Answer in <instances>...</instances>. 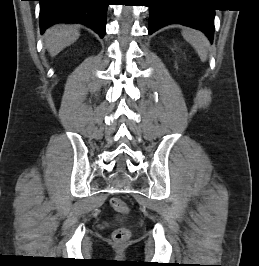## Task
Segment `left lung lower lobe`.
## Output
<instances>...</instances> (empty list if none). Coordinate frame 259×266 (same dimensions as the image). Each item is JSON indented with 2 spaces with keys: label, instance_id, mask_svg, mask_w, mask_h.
Listing matches in <instances>:
<instances>
[{
  "label": "left lung lower lobe",
  "instance_id": "obj_1",
  "mask_svg": "<svg viewBox=\"0 0 259 266\" xmlns=\"http://www.w3.org/2000/svg\"><path fill=\"white\" fill-rule=\"evenodd\" d=\"M150 8L149 34L169 24H181L203 31L213 42L214 10L191 0H148Z\"/></svg>",
  "mask_w": 259,
  "mask_h": 266
}]
</instances>
